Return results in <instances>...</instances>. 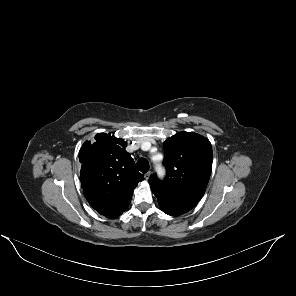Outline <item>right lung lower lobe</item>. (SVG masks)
Wrapping results in <instances>:
<instances>
[{
  "instance_id": "right-lung-lower-lobe-1",
  "label": "right lung lower lobe",
  "mask_w": 296,
  "mask_h": 296,
  "mask_svg": "<svg viewBox=\"0 0 296 296\" xmlns=\"http://www.w3.org/2000/svg\"><path fill=\"white\" fill-rule=\"evenodd\" d=\"M126 207H118V208H105L102 210H99L98 212L103 215L106 216L108 218H115L118 217L119 215H121L125 210Z\"/></svg>"
}]
</instances>
